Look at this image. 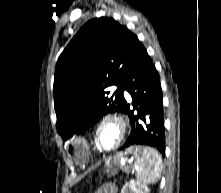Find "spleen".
Returning <instances> with one entry per match:
<instances>
[{"mask_svg":"<svg viewBox=\"0 0 221 193\" xmlns=\"http://www.w3.org/2000/svg\"><path fill=\"white\" fill-rule=\"evenodd\" d=\"M134 151L137 178L143 183H155L161 177L162 159L152 146H131Z\"/></svg>","mask_w":221,"mask_h":193,"instance_id":"spleen-1","label":"spleen"}]
</instances>
